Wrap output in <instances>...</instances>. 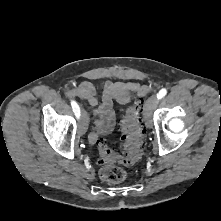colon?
I'll list each match as a JSON object with an SVG mask.
<instances>
[{
	"instance_id": "5ec220e1",
	"label": "colon",
	"mask_w": 221,
	"mask_h": 221,
	"mask_svg": "<svg viewBox=\"0 0 221 221\" xmlns=\"http://www.w3.org/2000/svg\"><path fill=\"white\" fill-rule=\"evenodd\" d=\"M141 103L142 100H137L127 110L121 122L122 144L119 151L108 148L103 140L97 142L102 163L99 174L105 182L120 183L124 181L127 178V172L117 164H134L141 157L144 137L140 117Z\"/></svg>"
}]
</instances>
